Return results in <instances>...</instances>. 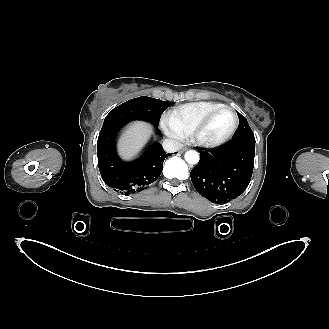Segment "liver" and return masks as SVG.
Listing matches in <instances>:
<instances>
[{
	"mask_svg": "<svg viewBox=\"0 0 329 329\" xmlns=\"http://www.w3.org/2000/svg\"><path fill=\"white\" fill-rule=\"evenodd\" d=\"M149 135L150 129L146 124L142 122L131 124L124 130L118 142L121 156L125 159L134 158L145 145Z\"/></svg>",
	"mask_w": 329,
	"mask_h": 329,
	"instance_id": "obj_1",
	"label": "liver"
}]
</instances>
